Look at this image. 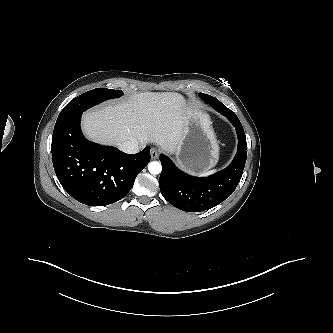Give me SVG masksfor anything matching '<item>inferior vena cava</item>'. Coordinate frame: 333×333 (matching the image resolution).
I'll return each mask as SVG.
<instances>
[{
  "label": "inferior vena cava",
  "instance_id": "1",
  "mask_svg": "<svg viewBox=\"0 0 333 333\" xmlns=\"http://www.w3.org/2000/svg\"><path fill=\"white\" fill-rule=\"evenodd\" d=\"M120 150L128 154L139 152V144L137 141H126L120 145Z\"/></svg>",
  "mask_w": 333,
  "mask_h": 333
}]
</instances>
